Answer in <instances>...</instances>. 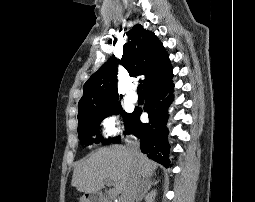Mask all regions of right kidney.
<instances>
[{
	"label": "right kidney",
	"mask_w": 255,
	"mask_h": 202,
	"mask_svg": "<svg viewBox=\"0 0 255 202\" xmlns=\"http://www.w3.org/2000/svg\"><path fill=\"white\" fill-rule=\"evenodd\" d=\"M156 196V190L152 191L146 196V202H154Z\"/></svg>",
	"instance_id": "ca27d5eb"
}]
</instances>
